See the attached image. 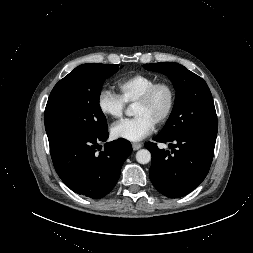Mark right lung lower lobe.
<instances>
[{"label": "right lung lower lobe", "instance_id": "obj_1", "mask_svg": "<svg viewBox=\"0 0 253 253\" xmlns=\"http://www.w3.org/2000/svg\"><path fill=\"white\" fill-rule=\"evenodd\" d=\"M106 139L107 127L95 134L66 136L49 142L57 174L75 193L99 199L116 185L132 146L129 141L119 138L100 151L99 143Z\"/></svg>", "mask_w": 253, "mask_h": 253}]
</instances>
